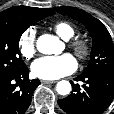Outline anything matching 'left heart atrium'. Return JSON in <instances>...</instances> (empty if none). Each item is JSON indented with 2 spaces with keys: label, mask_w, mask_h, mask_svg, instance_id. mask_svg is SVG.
Returning a JSON list of instances; mask_svg holds the SVG:
<instances>
[{
  "label": "left heart atrium",
  "mask_w": 114,
  "mask_h": 114,
  "mask_svg": "<svg viewBox=\"0 0 114 114\" xmlns=\"http://www.w3.org/2000/svg\"><path fill=\"white\" fill-rule=\"evenodd\" d=\"M77 68L75 58L70 54L45 56L31 65L32 74L40 79L54 80L73 73Z\"/></svg>",
  "instance_id": "obj_1"
}]
</instances>
